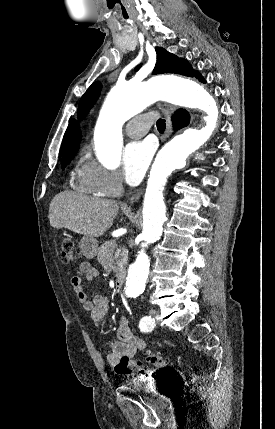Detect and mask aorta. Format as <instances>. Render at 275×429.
Here are the masks:
<instances>
[{"label":"aorta","mask_w":275,"mask_h":429,"mask_svg":"<svg viewBox=\"0 0 275 429\" xmlns=\"http://www.w3.org/2000/svg\"><path fill=\"white\" fill-rule=\"evenodd\" d=\"M158 100L204 111L206 126L186 129L161 149L143 202L142 248L158 241L162 235L167 220L163 197L167 178L175 169L184 167L187 157L209 139L219 116L216 99L202 85L189 79L162 77L146 83L116 85L103 104L94 133L95 152L104 166L115 169L119 165L123 123ZM149 267L148 256L142 249L128 270L124 287L127 297L144 291Z\"/></svg>","instance_id":"1"}]
</instances>
